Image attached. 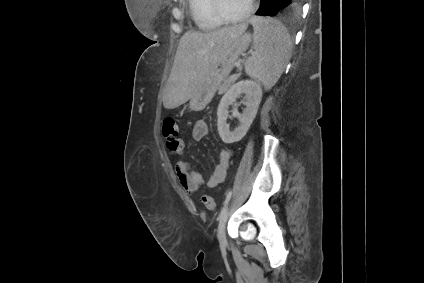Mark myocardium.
<instances>
[{"mask_svg": "<svg viewBox=\"0 0 424 283\" xmlns=\"http://www.w3.org/2000/svg\"><path fill=\"white\" fill-rule=\"evenodd\" d=\"M257 7V0H250L248 9L240 16H228L222 7V0H211V9L214 16L222 23H239L246 21L255 12Z\"/></svg>", "mask_w": 424, "mask_h": 283, "instance_id": "f54148a6", "label": "myocardium"}]
</instances>
